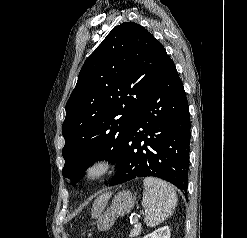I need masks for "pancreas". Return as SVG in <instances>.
I'll return each instance as SVG.
<instances>
[{
  "mask_svg": "<svg viewBox=\"0 0 247 238\" xmlns=\"http://www.w3.org/2000/svg\"><path fill=\"white\" fill-rule=\"evenodd\" d=\"M134 223H135L134 229H132L131 232H130V237L131 238L138 236L141 233V230H142L141 224L138 223L137 220H134Z\"/></svg>",
  "mask_w": 247,
  "mask_h": 238,
  "instance_id": "cf45deb5",
  "label": "pancreas"
}]
</instances>
